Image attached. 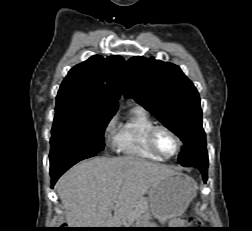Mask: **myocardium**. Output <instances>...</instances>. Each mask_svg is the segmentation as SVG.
Segmentation results:
<instances>
[{"label": "myocardium", "mask_w": 252, "mask_h": 231, "mask_svg": "<svg viewBox=\"0 0 252 231\" xmlns=\"http://www.w3.org/2000/svg\"><path fill=\"white\" fill-rule=\"evenodd\" d=\"M160 130H165L167 131L168 133H170L176 140L177 142V149L176 151L170 155V156H164L158 149L157 145H156V135L157 133L160 131ZM147 141H148V145H149V148L151 149V151L153 153H155L157 156H159L161 159L163 160H169V159H172L174 158L175 156L178 155V153L181 151V148H182V140L180 138V136L172 129L170 128L169 126L167 125H163V124H156L155 126H153L151 128V130L149 131L148 133V137H147Z\"/></svg>", "instance_id": "1"}]
</instances>
